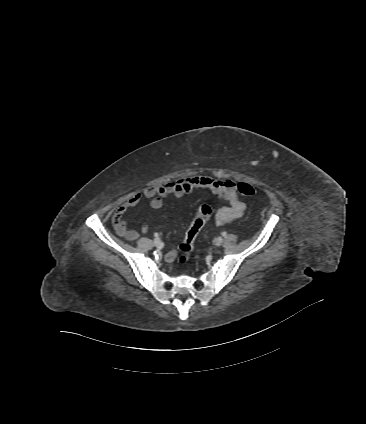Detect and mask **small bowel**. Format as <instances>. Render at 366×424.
I'll list each match as a JSON object with an SVG mask.
<instances>
[{"label": "small bowel", "mask_w": 366, "mask_h": 424, "mask_svg": "<svg viewBox=\"0 0 366 424\" xmlns=\"http://www.w3.org/2000/svg\"><path fill=\"white\" fill-rule=\"evenodd\" d=\"M207 189L220 199L227 201L229 206H221L215 214L217 225L229 224L243 216L247 205L239 199L237 184L231 179L215 178L206 175H196L184 177L176 181L162 185H153L145 188L142 193L136 192L128 195L122 204L115 211L112 224L117 234L126 240L134 241L138 239L139 233L129 228L124 220V215L128 209L138 205L143 197L150 200V207L159 210L163 206L164 199L170 195L181 198L195 189ZM149 228L143 224L141 232L146 234ZM177 251L172 250L166 255V261L172 262Z\"/></svg>", "instance_id": "1"}]
</instances>
